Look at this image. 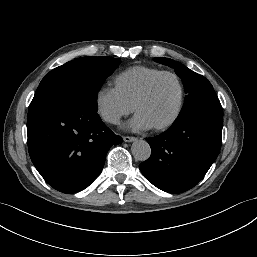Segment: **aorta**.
Here are the masks:
<instances>
[{
    "mask_svg": "<svg viewBox=\"0 0 257 257\" xmlns=\"http://www.w3.org/2000/svg\"><path fill=\"white\" fill-rule=\"evenodd\" d=\"M131 151L133 156L140 161L147 160L151 155L150 145L145 140L135 141L131 146Z\"/></svg>",
    "mask_w": 257,
    "mask_h": 257,
    "instance_id": "762f6f07",
    "label": "aorta"
}]
</instances>
